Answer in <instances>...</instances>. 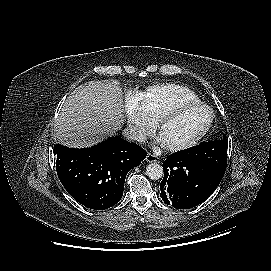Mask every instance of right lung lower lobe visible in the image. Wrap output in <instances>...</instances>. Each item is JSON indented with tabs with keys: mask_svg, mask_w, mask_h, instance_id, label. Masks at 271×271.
Here are the masks:
<instances>
[{
	"mask_svg": "<svg viewBox=\"0 0 271 271\" xmlns=\"http://www.w3.org/2000/svg\"><path fill=\"white\" fill-rule=\"evenodd\" d=\"M56 171L67 192L85 207L104 210L120 201L127 173L147 152L113 137L96 146L74 149L56 144Z\"/></svg>",
	"mask_w": 271,
	"mask_h": 271,
	"instance_id": "obj_1",
	"label": "right lung lower lobe"
}]
</instances>
